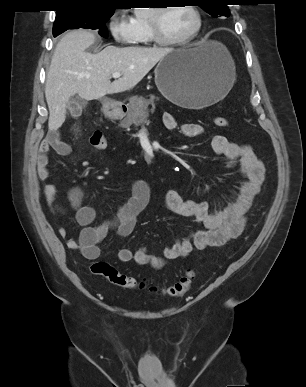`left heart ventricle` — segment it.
<instances>
[{"label":"left heart ventricle","mask_w":306,"mask_h":387,"mask_svg":"<svg viewBox=\"0 0 306 387\" xmlns=\"http://www.w3.org/2000/svg\"><path fill=\"white\" fill-rule=\"evenodd\" d=\"M195 26L193 13L185 6L169 7L161 15L160 27L167 39H180L188 35Z\"/></svg>","instance_id":"1"}]
</instances>
